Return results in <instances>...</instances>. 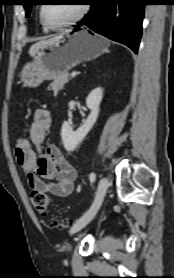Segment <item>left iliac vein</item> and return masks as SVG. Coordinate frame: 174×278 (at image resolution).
I'll return each mask as SVG.
<instances>
[{"label": "left iliac vein", "instance_id": "1", "mask_svg": "<svg viewBox=\"0 0 174 278\" xmlns=\"http://www.w3.org/2000/svg\"><path fill=\"white\" fill-rule=\"evenodd\" d=\"M108 187H109L108 179L105 177L102 178L98 184L96 195H95V198H94V201H93L91 207L82 217H80L74 223V225L72 226V228L70 230V234H74V233L80 231L94 218V216L97 214V212L104 200Z\"/></svg>", "mask_w": 174, "mask_h": 278}]
</instances>
